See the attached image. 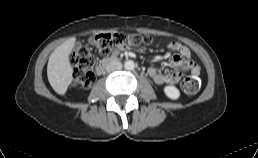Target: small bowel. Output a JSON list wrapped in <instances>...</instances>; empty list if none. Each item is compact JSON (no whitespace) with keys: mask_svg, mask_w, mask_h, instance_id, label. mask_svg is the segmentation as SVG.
<instances>
[{"mask_svg":"<svg viewBox=\"0 0 258 158\" xmlns=\"http://www.w3.org/2000/svg\"><path fill=\"white\" fill-rule=\"evenodd\" d=\"M168 47L178 52V54L172 55L169 58V63L176 70L172 72L161 73L156 67H150L148 74L158 85L162 84H176L180 81L182 72L188 71L191 74L198 76L200 74V67L190 60V50L179 42H170Z\"/></svg>","mask_w":258,"mask_h":158,"instance_id":"c3829d8e","label":"small bowel"}]
</instances>
